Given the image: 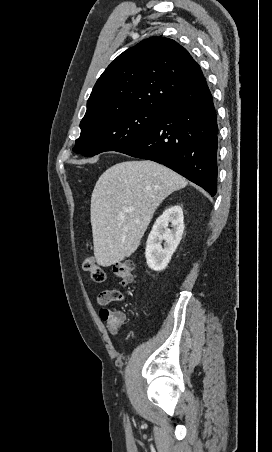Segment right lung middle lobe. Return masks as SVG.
Listing matches in <instances>:
<instances>
[{
  "instance_id": "right-lung-middle-lobe-1",
  "label": "right lung middle lobe",
  "mask_w": 272,
  "mask_h": 452,
  "mask_svg": "<svg viewBox=\"0 0 272 452\" xmlns=\"http://www.w3.org/2000/svg\"><path fill=\"white\" fill-rule=\"evenodd\" d=\"M162 112L160 109L132 108L82 121L81 135L73 151L86 157L118 151L142 136Z\"/></svg>"
}]
</instances>
